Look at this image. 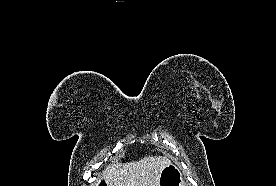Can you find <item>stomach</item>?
<instances>
[{
	"label": "stomach",
	"mask_w": 276,
	"mask_h": 186,
	"mask_svg": "<svg viewBox=\"0 0 276 186\" xmlns=\"http://www.w3.org/2000/svg\"><path fill=\"white\" fill-rule=\"evenodd\" d=\"M159 186H185L180 169L172 163L165 166L160 173Z\"/></svg>",
	"instance_id": "obj_1"
}]
</instances>
